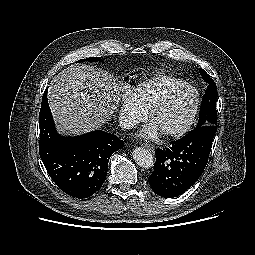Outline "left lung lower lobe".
<instances>
[{"instance_id": "left-lung-lower-lobe-1", "label": "left lung lower lobe", "mask_w": 255, "mask_h": 255, "mask_svg": "<svg viewBox=\"0 0 255 255\" xmlns=\"http://www.w3.org/2000/svg\"><path fill=\"white\" fill-rule=\"evenodd\" d=\"M216 131V125L196 127L170 148L158 149L149 177L152 190L161 197L172 198L189 189L205 169Z\"/></svg>"}]
</instances>
